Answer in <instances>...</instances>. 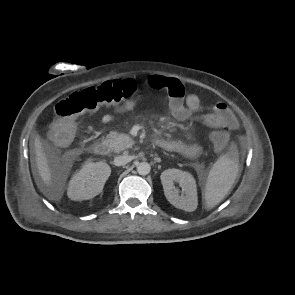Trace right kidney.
<instances>
[{
    "mask_svg": "<svg viewBox=\"0 0 295 295\" xmlns=\"http://www.w3.org/2000/svg\"><path fill=\"white\" fill-rule=\"evenodd\" d=\"M111 174L110 166L102 161H87L69 182L68 197L74 201L92 199L102 192Z\"/></svg>",
    "mask_w": 295,
    "mask_h": 295,
    "instance_id": "right-kidney-1",
    "label": "right kidney"
}]
</instances>
